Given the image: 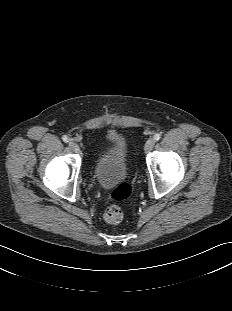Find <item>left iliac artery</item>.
Listing matches in <instances>:
<instances>
[{
  "label": "left iliac artery",
  "mask_w": 232,
  "mask_h": 311,
  "mask_svg": "<svg viewBox=\"0 0 232 311\" xmlns=\"http://www.w3.org/2000/svg\"><path fill=\"white\" fill-rule=\"evenodd\" d=\"M160 138H161V134L160 133L155 134V136H154V140L155 141H158Z\"/></svg>",
  "instance_id": "left-iliac-artery-1"
}]
</instances>
